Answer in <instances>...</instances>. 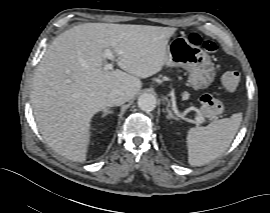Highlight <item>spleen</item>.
I'll use <instances>...</instances> for the list:
<instances>
[{
  "instance_id": "spleen-1",
  "label": "spleen",
  "mask_w": 270,
  "mask_h": 213,
  "mask_svg": "<svg viewBox=\"0 0 270 213\" xmlns=\"http://www.w3.org/2000/svg\"><path fill=\"white\" fill-rule=\"evenodd\" d=\"M241 121L242 114L235 113L206 127L191 128L187 133L189 164L202 166L223 154L234 139Z\"/></svg>"
}]
</instances>
